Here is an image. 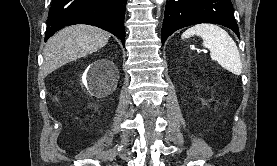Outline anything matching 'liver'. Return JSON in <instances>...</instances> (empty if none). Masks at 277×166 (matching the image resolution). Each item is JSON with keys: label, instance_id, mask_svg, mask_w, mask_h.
Instances as JSON below:
<instances>
[{"label": "liver", "instance_id": "6515ba94", "mask_svg": "<svg viewBox=\"0 0 277 166\" xmlns=\"http://www.w3.org/2000/svg\"><path fill=\"white\" fill-rule=\"evenodd\" d=\"M109 38L107 31L91 25H73L58 31L45 45L43 76L98 51L107 44Z\"/></svg>", "mask_w": 277, "mask_h": 166}]
</instances>
